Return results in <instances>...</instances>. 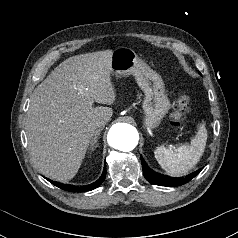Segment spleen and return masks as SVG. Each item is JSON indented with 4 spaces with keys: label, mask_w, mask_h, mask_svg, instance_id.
Returning a JSON list of instances; mask_svg holds the SVG:
<instances>
[{
    "label": "spleen",
    "mask_w": 238,
    "mask_h": 238,
    "mask_svg": "<svg viewBox=\"0 0 238 238\" xmlns=\"http://www.w3.org/2000/svg\"><path fill=\"white\" fill-rule=\"evenodd\" d=\"M206 141L207 130L205 124H201L190 145H180L174 149L159 146L155 149L154 156L168 174L185 175L199 162L204 153Z\"/></svg>",
    "instance_id": "obj_1"
}]
</instances>
